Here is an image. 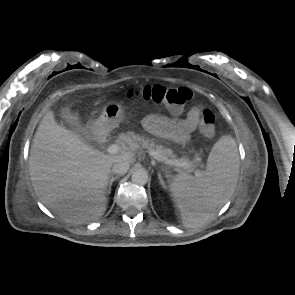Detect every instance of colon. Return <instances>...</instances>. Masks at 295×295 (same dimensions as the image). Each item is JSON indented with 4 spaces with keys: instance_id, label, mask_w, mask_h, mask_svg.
Segmentation results:
<instances>
[{
    "instance_id": "1",
    "label": "colon",
    "mask_w": 295,
    "mask_h": 295,
    "mask_svg": "<svg viewBox=\"0 0 295 295\" xmlns=\"http://www.w3.org/2000/svg\"><path fill=\"white\" fill-rule=\"evenodd\" d=\"M130 98L140 97L146 101L163 105L173 113H180L184 105L192 98V92L184 87H165L162 85H147L141 89H131L127 92ZM200 132L211 136L215 131V115L210 109H205L201 114L199 125Z\"/></svg>"
}]
</instances>
